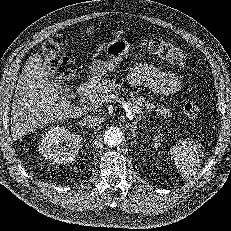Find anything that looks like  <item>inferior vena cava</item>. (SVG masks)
<instances>
[{
  "label": "inferior vena cava",
  "instance_id": "1",
  "mask_svg": "<svg viewBox=\"0 0 231 231\" xmlns=\"http://www.w3.org/2000/svg\"><path fill=\"white\" fill-rule=\"evenodd\" d=\"M102 122V119L95 115H87L83 118L81 125L85 127H95Z\"/></svg>",
  "mask_w": 231,
  "mask_h": 231
}]
</instances>
